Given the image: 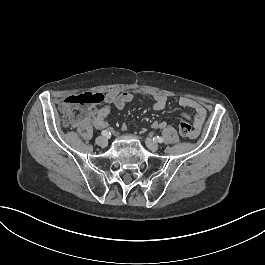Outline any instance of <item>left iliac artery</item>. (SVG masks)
I'll use <instances>...</instances> for the list:
<instances>
[{
	"instance_id": "left-iliac-artery-1",
	"label": "left iliac artery",
	"mask_w": 265,
	"mask_h": 265,
	"mask_svg": "<svg viewBox=\"0 0 265 265\" xmlns=\"http://www.w3.org/2000/svg\"><path fill=\"white\" fill-rule=\"evenodd\" d=\"M156 140H157L159 143H162V142H163V138H162V137H159V136L156 137Z\"/></svg>"
}]
</instances>
